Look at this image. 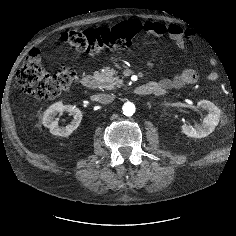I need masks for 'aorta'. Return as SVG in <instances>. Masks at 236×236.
Listing matches in <instances>:
<instances>
[{
  "instance_id": "aorta-1",
  "label": "aorta",
  "mask_w": 236,
  "mask_h": 236,
  "mask_svg": "<svg viewBox=\"0 0 236 236\" xmlns=\"http://www.w3.org/2000/svg\"><path fill=\"white\" fill-rule=\"evenodd\" d=\"M125 116H132L135 113V105L132 102H126L122 107Z\"/></svg>"
}]
</instances>
